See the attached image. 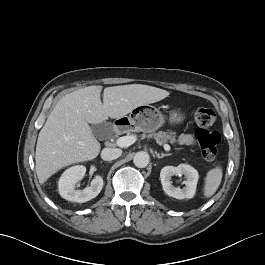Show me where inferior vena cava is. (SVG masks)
Listing matches in <instances>:
<instances>
[{
    "instance_id": "inferior-vena-cava-1",
    "label": "inferior vena cava",
    "mask_w": 265,
    "mask_h": 265,
    "mask_svg": "<svg viewBox=\"0 0 265 265\" xmlns=\"http://www.w3.org/2000/svg\"><path fill=\"white\" fill-rule=\"evenodd\" d=\"M121 149L117 148H104L101 152V158L105 161H112L121 156Z\"/></svg>"
}]
</instances>
